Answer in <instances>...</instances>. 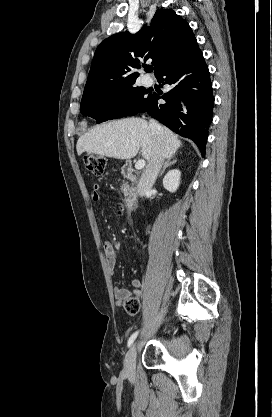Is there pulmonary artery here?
I'll return each instance as SVG.
<instances>
[{"instance_id":"1","label":"pulmonary artery","mask_w":272,"mask_h":417,"mask_svg":"<svg viewBox=\"0 0 272 417\" xmlns=\"http://www.w3.org/2000/svg\"><path fill=\"white\" fill-rule=\"evenodd\" d=\"M145 83L147 84V85H149L150 83H151V81L150 80H145Z\"/></svg>"}]
</instances>
